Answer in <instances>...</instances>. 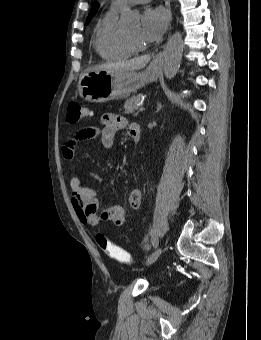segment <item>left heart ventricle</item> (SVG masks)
<instances>
[{
  "mask_svg": "<svg viewBox=\"0 0 261 340\" xmlns=\"http://www.w3.org/2000/svg\"><path fill=\"white\" fill-rule=\"evenodd\" d=\"M126 33L134 39L136 42L140 44H145V42L142 40L141 35H140V28L139 26H135L129 30L126 31Z\"/></svg>",
  "mask_w": 261,
  "mask_h": 340,
  "instance_id": "1",
  "label": "left heart ventricle"
}]
</instances>
